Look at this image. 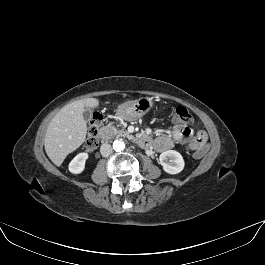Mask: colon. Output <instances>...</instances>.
I'll return each mask as SVG.
<instances>
[{
    "instance_id": "obj_1",
    "label": "colon",
    "mask_w": 265,
    "mask_h": 265,
    "mask_svg": "<svg viewBox=\"0 0 265 265\" xmlns=\"http://www.w3.org/2000/svg\"><path fill=\"white\" fill-rule=\"evenodd\" d=\"M172 116L176 118L180 123L185 125H189L193 122L192 115L184 106L175 107L172 110ZM101 123H102V115L98 112L94 113L89 123V131L85 142V148L89 152L95 150L99 144L98 129ZM202 156H203L202 151H197L194 153L195 158H200Z\"/></svg>"
}]
</instances>
